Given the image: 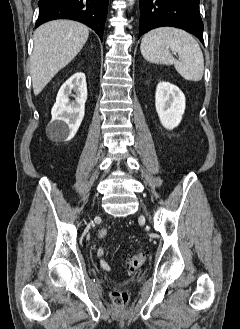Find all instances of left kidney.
Wrapping results in <instances>:
<instances>
[{"mask_svg": "<svg viewBox=\"0 0 240 329\" xmlns=\"http://www.w3.org/2000/svg\"><path fill=\"white\" fill-rule=\"evenodd\" d=\"M155 107L161 124L172 130L182 120L185 96L177 86L169 82H159L155 93Z\"/></svg>", "mask_w": 240, "mask_h": 329, "instance_id": "5707ae66", "label": "left kidney"}]
</instances>
